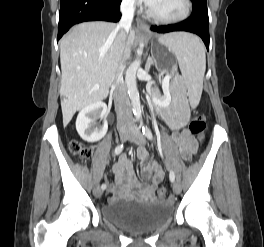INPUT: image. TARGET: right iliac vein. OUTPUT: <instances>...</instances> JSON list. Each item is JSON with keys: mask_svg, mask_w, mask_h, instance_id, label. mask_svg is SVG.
<instances>
[{"mask_svg": "<svg viewBox=\"0 0 264 247\" xmlns=\"http://www.w3.org/2000/svg\"><path fill=\"white\" fill-rule=\"evenodd\" d=\"M129 134H130V130L129 129L122 130L120 132V140L122 142H125L128 139ZM94 195H95L96 198H100L101 197L102 191H101L100 187L97 186V187L94 188Z\"/></svg>", "mask_w": 264, "mask_h": 247, "instance_id": "1", "label": "right iliac vein"}]
</instances>
